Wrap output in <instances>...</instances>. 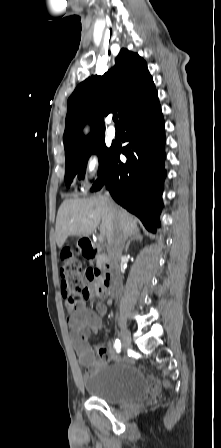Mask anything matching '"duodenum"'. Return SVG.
I'll list each match as a JSON object with an SVG mask.
<instances>
[{"mask_svg":"<svg viewBox=\"0 0 221 448\" xmlns=\"http://www.w3.org/2000/svg\"><path fill=\"white\" fill-rule=\"evenodd\" d=\"M80 250L82 255L87 259H95L103 273L101 278V286L107 295H116L119 291L120 280L117 271L112 269L108 258L105 256L103 249L94 245L87 237L80 241Z\"/></svg>","mask_w":221,"mask_h":448,"instance_id":"1","label":"duodenum"}]
</instances>
